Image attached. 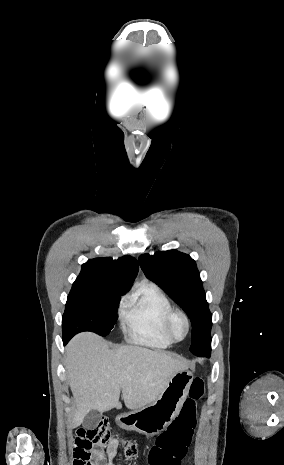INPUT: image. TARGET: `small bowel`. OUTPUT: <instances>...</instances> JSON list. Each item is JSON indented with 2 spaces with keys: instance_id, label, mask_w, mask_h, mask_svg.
<instances>
[{
  "instance_id": "1",
  "label": "small bowel",
  "mask_w": 284,
  "mask_h": 465,
  "mask_svg": "<svg viewBox=\"0 0 284 465\" xmlns=\"http://www.w3.org/2000/svg\"><path fill=\"white\" fill-rule=\"evenodd\" d=\"M119 441L117 438H114L107 446H106V453L108 456V460L103 463V465H113L112 459L116 456L118 451ZM95 459L99 463L98 465H102V461L104 460V454L102 451H96Z\"/></svg>"
}]
</instances>
